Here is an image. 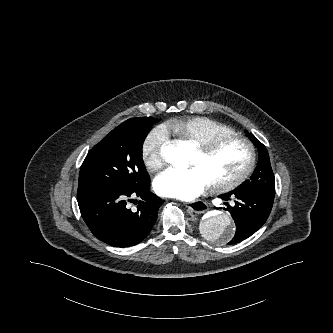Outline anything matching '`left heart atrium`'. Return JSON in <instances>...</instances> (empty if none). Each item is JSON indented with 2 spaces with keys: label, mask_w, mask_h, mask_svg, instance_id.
<instances>
[{
  "label": "left heart atrium",
  "mask_w": 333,
  "mask_h": 333,
  "mask_svg": "<svg viewBox=\"0 0 333 333\" xmlns=\"http://www.w3.org/2000/svg\"><path fill=\"white\" fill-rule=\"evenodd\" d=\"M210 184V179L199 166L171 167L155 179V189L160 195L181 200L196 198Z\"/></svg>",
  "instance_id": "39dd6f15"
}]
</instances>
